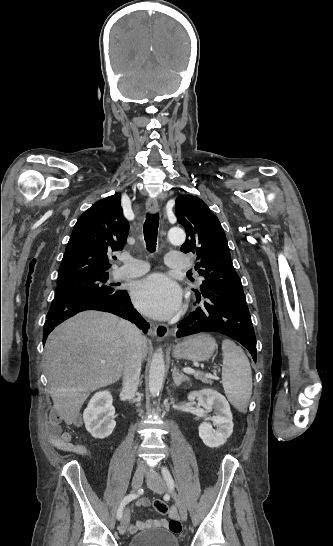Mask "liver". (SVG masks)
Returning <instances> with one entry per match:
<instances>
[{
	"label": "liver",
	"mask_w": 333,
	"mask_h": 546,
	"mask_svg": "<svg viewBox=\"0 0 333 546\" xmlns=\"http://www.w3.org/2000/svg\"><path fill=\"white\" fill-rule=\"evenodd\" d=\"M147 350L143 337V359ZM125 353L123 326L109 313L80 312L52 331L45 345V371L54 408L67 425L76 421L92 391L119 380Z\"/></svg>",
	"instance_id": "6515ba94"
}]
</instances>
